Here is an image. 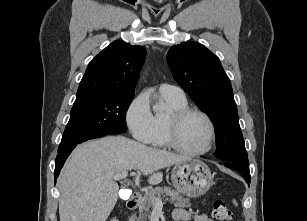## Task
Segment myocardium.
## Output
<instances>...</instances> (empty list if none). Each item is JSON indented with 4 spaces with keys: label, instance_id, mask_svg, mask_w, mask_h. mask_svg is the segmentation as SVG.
I'll use <instances>...</instances> for the list:
<instances>
[{
    "label": "myocardium",
    "instance_id": "f54148a6",
    "mask_svg": "<svg viewBox=\"0 0 307 221\" xmlns=\"http://www.w3.org/2000/svg\"><path fill=\"white\" fill-rule=\"evenodd\" d=\"M191 114H197L203 117L209 127L208 144L203 150H200V151L187 150L183 148L178 142V134H179L180 126L182 122L184 121V119ZM167 141H168V145L173 150L183 155H187L191 157H199V156L206 155L213 149L215 141H216V127H215L214 121L206 112L198 108L185 107L182 109L175 110L168 117Z\"/></svg>",
    "mask_w": 307,
    "mask_h": 221
}]
</instances>
